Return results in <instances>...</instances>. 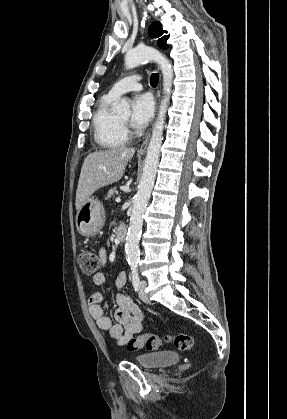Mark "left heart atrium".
<instances>
[{
	"mask_svg": "<svg viewBox=\"0 0 287 419\" xmlns=\"http://www.w3.org/2000/svg\"><path fill=\"white\" fill-rule=\"evenodd\" d=\"M153 113V97L147 93L138 94L132 101L130 123L134 128L142 129L148 124Z\"/></svg>",
	"mask_w": 287,
	"mask_h": 419,
	"instance_id": "39dd6f15",
	"label": "left heart atrium"
}]
</instances>
